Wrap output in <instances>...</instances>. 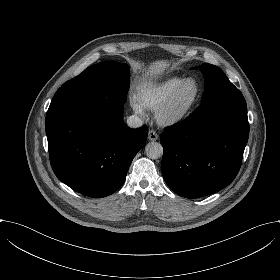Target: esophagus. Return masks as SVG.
I'll list each match as a JSON object with an SVG mask.
<instances>
[{
    "label": "esophagus",
    "mask_w": 280,
    "mask_h": 280,
    "mask_svg": "<svg viewBox=\"0 0 280 280\" xmlns=\"http://www.w3.org/2000/svg\"><path fill=\"white\" fill-rule=\"evenodd\" d=\"M158 139V134L155 130H149L148 132V140L149 141H156Z\"/></svg>",
    "instance_id": "1"
}]
</instances>
